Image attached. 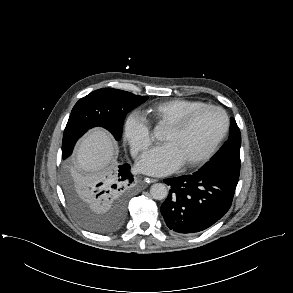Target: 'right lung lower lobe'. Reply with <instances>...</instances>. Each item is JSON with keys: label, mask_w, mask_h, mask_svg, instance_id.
<instances>
[{"label": "right lung lower lobe", "mask_w": 293, "mask_h": 293, "mask_svg": "<svg viewBox=\"0 0 293 293\" xmlns=\"http://www.w3.org/2000/svg\"><path fill=\"white\" fill-rule=\"evenodd\" d=\"M132 181L130 165L125 163L106 177L94 178L91 182L81 184V197L87 207L122 220L117 228L106 233L113 232L122 225L127 214V191Z\"/></svg>", "instance_id": "98d812e1"}]
</instances>
